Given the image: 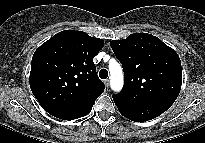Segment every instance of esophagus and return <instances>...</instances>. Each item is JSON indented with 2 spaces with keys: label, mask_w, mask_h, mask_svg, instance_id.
<instances>
[{
  "label": "esophagus",
  "mask_w": 205,
  "mask_h": 143,
  "mask_svg": "<svg viewBox=\"0 0 205 143\" xmlns=\"http://www.w3.org/2000/svg\"><path fill=\"white\" fill-rule=\"evenodd\" d=\"M104 84H105L106 87H108L109 84H110V80L109 79L104 80Z\"/></svg>",
  "instance_id": "1"
}]
</instances>
